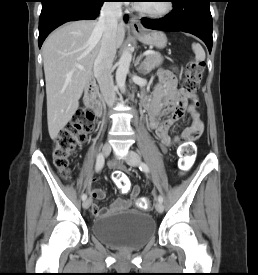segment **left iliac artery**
I'll use <instances>...</instances> for the list:
<instances>
[{
    "label": "left iliac artery",
    "instance_id": "1",
    "mask_svg": "<svg viewBox=\"0 0 258 275\" xmlns=\"http://www.w3.org/2000/svg\"><path fill=\"white\" fill-rule=\"evenodd\" d=\"M139 169L145 173L149 172V168L145 163H140ZM158 201L163 202V197L161 195L158 196Z\"/></svg>",
    "mask_w": 258,
    "mask_h": 275
}]
</instances>
